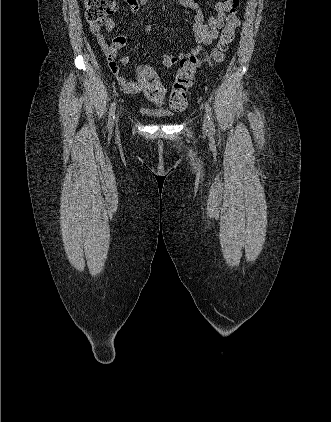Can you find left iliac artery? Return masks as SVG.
Here are the masks:
<instances>
[{
	"mask_svg": "<svg viewBox=\"0 0 331 422\" xmlns=\"http://www.w3.org/2000/svg\"><path fill=\"white\" fill-rule=\"evenodd\" d=\"M205 109H206L210 129L214 130V124H213V121H212V108H211V106L208 102L205 104Z\"/></svg>",
	"mask_w": 331,
	"mask_h": 422,
	"instance_id": "44dca946",
	"label": "left iliac artery"
}]
</instances>
